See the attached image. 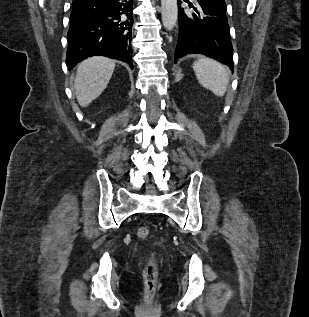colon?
<instances>
[{"mask_svg":"<svg viewBox=\"0 0 309 317\" xmlns=\"http://www.w3.org/2000/svg\"><path fill=\"white\" fill-rule=\"evenodd\" d=\"M136 235L140 239H146L149 236V229L147 227H140L137 229ZM158 265L154 261H150L143 273L144 277V291L147 300H152L157 286Z\"/></svg>","mask_w":309,"mask_h":317,"instance_id":"obj_1","label":"colon"}]
</instances>
